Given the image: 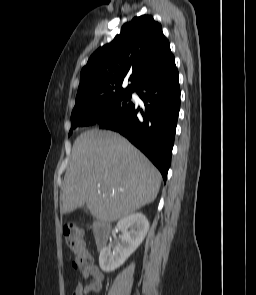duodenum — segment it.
Here are the masks:
<instances>
[{
	"instance_id": "410a0bca",
	"label": "duodenum",
	"mask_w": 256,
	"mask_h": 295,
	"mask_svg": "<svg viewBox=\"0 0 256 295\" xmlns=\"http://www.w3.org/2000/svg\"><path fill=\"white\" fill-rule=\"evenodd\" d=\"M111 226L105 220H96L93 225V236L96 246L102 249L108 242Z\"/></svg>"
}]
</instances>
